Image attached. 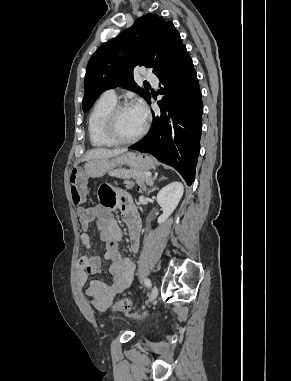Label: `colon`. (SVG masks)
Masks as SVG:
<instances>
[{"label": "colon", "mask_w": 291, "mask_h": 381, "mask_svg": "<svg viewBox=\"0 0 291 381\" xmlns=\"http://www.w3.org/2000/svg\"><path fill=\"white\" fill-rule=\"evenodd\" d=\"M70 191L74 206L82 210L85 202V180L78 170H74L70 176ZM101 202L109 205L108 197H101ZM112 310L123 313H130L137 310L136 305L130 299H120L112 305Z\"/></svg>", "instance_id": "colon-1"}]
</instances>
